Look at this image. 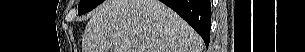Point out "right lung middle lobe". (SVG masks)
Masks as SVG:
<instances>
[{"mask_svg":"<svg viewBox=\"0 0 305 52\" xmlns=\"http://www.w3.org/2000/svg\"><path fill=\"white\" fill-rule=\"evenodd\" d=\"M103 1L104 0H81L78 6V14L82 15L88 11H91Z\"/></svg>","mask_w":305,"mask_h":52,"instance_id":"right-lung-middle-lobe-1","label":"right lung middle lobe"}]
</instances>
